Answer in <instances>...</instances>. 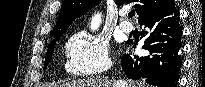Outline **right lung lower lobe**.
<instances>
[{
    "mask_svg": "<svg viewBox=\"0 0 205 87\" xmlns=\"http://www.w3.org/2000/svg\"><path fill=\"white\" fill-rule=\"evenodd\" d=\"M179 15L174 0H165L139 19L138 23L148 28L142 32V37H145L143 49L150 54L134 58L123 55L121 66L128 78L144 79L157 87H177L183 32ZM127 43L132 44V41Z\"/></svg>",
    "mask_w": 205,
    "mask_h": 87,
    "instance_id": "98d812e1",
    "label": "right lung lower lobe"
}]
</instances>
